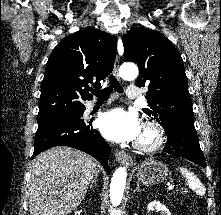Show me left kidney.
I'll list each match as a JSON object with an SVG mask.
<instances>
[{"mask_svg":"<svg viewBox=\"0 0 221 215\" xmlns=\"http://www.w3.org/2000/svg\"><path fill=\"white\" fill-rule=\"evenodd\" d=\"M148 211H160L162 215H171V213L169 212V210L166 208V206H164L163 204H161L158 201H153L151 203L148 204L147 206Z\"/></svg>","mask_w":221,"mask_h":215,"instance_id":"5707ae66","label":"left kidney"}]
</instances>
